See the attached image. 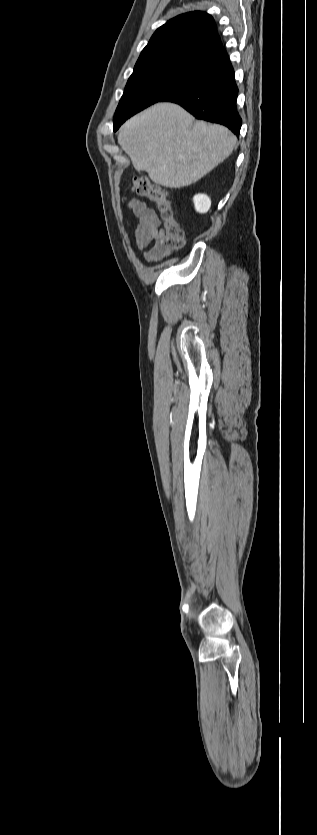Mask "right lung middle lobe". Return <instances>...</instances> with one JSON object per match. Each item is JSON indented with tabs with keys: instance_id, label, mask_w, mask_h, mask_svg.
Masks as SVG:
<instances>
[{
	"instance_id": "obj_1",
	"label": "right lung middle lobe",
	"mask_w": 317,
	"mask_h": 835,
	"mask_svg": "<svg viewBox=\"0 0 317 835\" xmlns=\"http://www.w3.org/2000/svg\"><path fill=\"white\" fill-rule=\"evenodd\" d=\"M205 79L206 75L190 58L134 71L116 109L114 131L137 112Z\"/></svg>"
}]
</instances>
